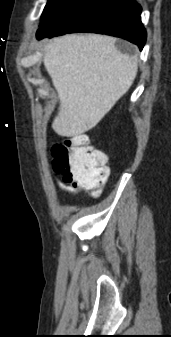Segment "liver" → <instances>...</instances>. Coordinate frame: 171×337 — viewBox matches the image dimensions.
Returning a JSON list of instances; mask_svg holds the SVG:
<instances>
[{
    "mask_svg": "<svg viewBox=\"0 0 171 337\" xmlns=\"http://www.w3.org/2000/svg\"><path fill=\"white\" fill-rule=\"evenodd\" d=\"M44 66L60 106L52 128L60 136L82 134L98 124L131 87L136 58L103 35H65L44 47Z\"/></svg>",
    "mask_w": 171,
    "mask_h": 337,
    "instance_id": "6515ba94",
    "label": "liver"
}]
</instances>
